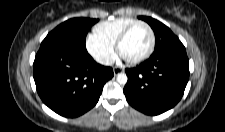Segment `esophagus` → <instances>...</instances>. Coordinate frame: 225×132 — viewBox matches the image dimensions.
Wrapping results in <instances>:
<instances>
[{
	"label": "esophagus",
	"mask_w": 225,
	"mask_h": 132,
	"mask_svg": "<svg viewBox=\"0 0 225 132\" xmlns=\"http://www.w3.org/2000/svg\"><path fill=\"white\" fill-rule=\"evenodd\" d=\"M122 72H123L122 68H119V67H114L113 68V73H114L115 76L120 74V73H122Z\"/></svg>",
	"instance_id": "obj_1"
}]
</instances>
